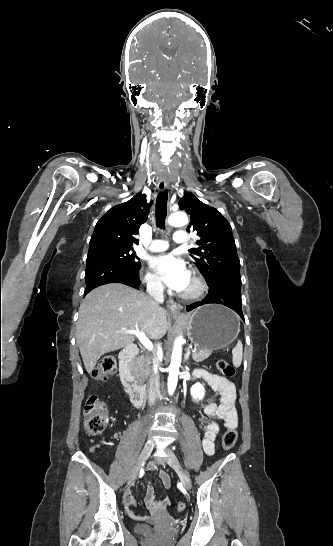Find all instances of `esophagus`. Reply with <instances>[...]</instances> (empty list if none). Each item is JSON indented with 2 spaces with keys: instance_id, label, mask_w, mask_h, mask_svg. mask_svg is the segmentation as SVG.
Returning <instances> with one entry per match:
<instances>
[{
  "instance_id": "obj_1",
  "label": "esophagus",
  "mask_w": 333,
  "mask_h": 546,
  "mask_svg": "<svg viewBox=\"0 0 333 546\" xmlns=\"http://www.w3.org/2000/svg\"><path fill=\"white\" fill-rule=\"evenodd\" d=\"M168 187H169V180L166 175H162L158 182L157 189L159 192H164ZM167 308H168L169 314L172 316H178L181 310L180 304L172 300L167 301Z\"/></svg>"
}]
</instances>
